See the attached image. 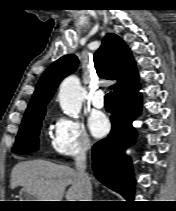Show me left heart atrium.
Masks as SVG:
<instances>
[{"label": "left heart atrium", "instance_id": "obj_1", "mask_svg": "<svg viewBox=\"0 0 176 211\" xmlns=\"http://www.w3.org/2000/svg\"><path fill=\"white\" fill-rule=\"evenodd\" d=\"M88 125L93 136L97 138L106 135L110 128L108 119L102 113L92 114L89 118Z\"/></svg>", "mask_w": 176, "mask_h": 211}]
</instances>
